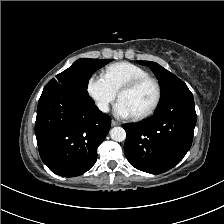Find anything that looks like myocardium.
I'll return each mask as SVG.
<instances>
[{
    "mask_svg": "<svg viewBox=\"0 0 224 224\" xmlns=\"http://www.w3.org/2000/svg\"><path fill=\"white\" fill-rule=\"evenodd\" d=\"M144 82H150L153 84L155 88V97L151 105L145 111L134 116L136 120L147 118L148 116L153 114L154 111L157 109L161 100V95H162L161 86L158 80L149 75L137 77L125 83L117 92V97L119 98L123 92L134 90L135 88H137L139 85H141Z\"/></svg>",
    "mask_w": 224,
    "mask_h": 224,
    "instance_id": "obj_1",
    "label": "myocardium"
}]
</instances>
